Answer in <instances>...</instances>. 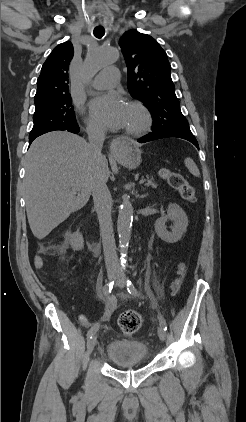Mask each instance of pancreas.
<instances>
[{
	"instance_id": "pancreas-1",
	"label": "pancreas",
	"mask_w": 246,
	"mask_h": 422,
	"mask_svg": "<svg viewBox=\"0 0 246 422\" xmlns=\"http://www.w3.org/2000/svg\"><path fill=\"white\" fill-rule=\"evenodd\" d=\"M148 181H151L152 182V180H148ZM146 186H152V187H156L157 185L155 184V183H151V184H145Z\"/></svg>"
}]
</instances>
